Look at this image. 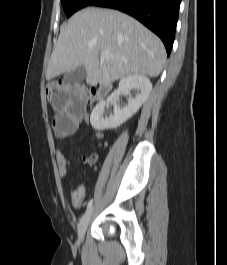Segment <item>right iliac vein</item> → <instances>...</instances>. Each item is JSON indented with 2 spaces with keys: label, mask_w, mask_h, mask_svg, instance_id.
Listing matches in <instances>:
<instances>
[{
  "label": "right iliac vein",
  "mask_w": 227,
  "mask_h": 265,
  "mask_svg": "<svg viewBox=\"0 0 227 265\" xmlns=\"http://www.w3.org/2000/svg\"><path fill=\"white\" fill-rule=\"evenodd\" d=\"M92 214H93V208L91 207L85 212V214L81 218L79 225H78V238H79V240H83L86 229H87L88 224L91 220Z\"/></svg>",
  "instance_id": "obj_1"
}]
</instances>
